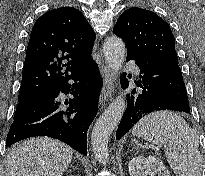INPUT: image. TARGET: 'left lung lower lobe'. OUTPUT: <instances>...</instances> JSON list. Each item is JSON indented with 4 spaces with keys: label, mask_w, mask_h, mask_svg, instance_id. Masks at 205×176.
Segmentation results:
<instances>
[{
    "label": "left lung lower lobe",
    "mask_w": 205,
    "mask_h": 176,
    "mask_svg": "<svg viewBox=\"0 0 205 176\" xmlns=\"http://www.w3.org/2000/svg\"><path fill=\"white\" fill-rule=\"evenodd\" d=\"M135 60L140 68L141 80L136 83L143 90L132 91L128 96V106L116 132V139H121L133 125L144 116L159 110H173L190 114L187 91L178 64L163 65L146 62L127 54L126 61ZM128 85L127 79L122 86Z\"/></svg>",
    "instance_id": "left-lung-lower-lobe-1"
}]
</instances>
